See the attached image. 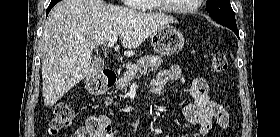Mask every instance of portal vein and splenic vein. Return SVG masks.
Masks as SVG:
<instances>
[{
  "label": "portal vein and splenic vein",
  "mask_w": 280,
  "mask_h": 137,
  "mask_svg": "<svg viewBox=\"0 0 280 137\" xmlns=\"http://www.w3.org/2000/svg\"><path fill=\"white\" fill-rule=\"evenodd\" d=\"M118 37L114 36L112 39L109 40V42L107 43V47H112L114 46V44L117 42Z\"/></svg>",
  "instance_id": "1"
}]
</instances>
